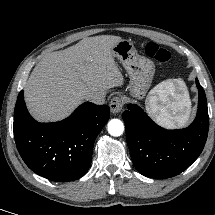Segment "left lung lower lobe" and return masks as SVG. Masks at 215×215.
<instances>
[{
    "label": "left lung lower lobe",
    "instance_id": "left-lung-lower-lobe-1",
    "mask_svg": "<svg viewBox=\"0 0 215 215\" xmlns=\"http://www.w3.org/2000/svg\"><path fill=\"white\" fill-rule=\"evenodd\" d=\"M198 110L184 129L167 130L154 123L137 105L123 113L131 159L139 173L150 178H170L187 169L202 152L209 127L207 100L196 79Z\"/></svg>",
    "mask_w": 215,
    "mask_h": 215
}]
</instances>
